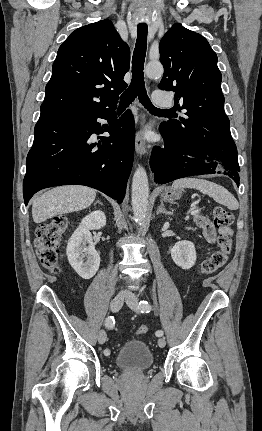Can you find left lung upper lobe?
<instances>
[{
    "label": "left lung upper lobe",
    "mask_w": 262,
    "mask_h": 431,
    "mask_svg": "<svg viewBox=\"0 0 262 431\" xmlns=\"http://www.w3.org/2000/svg\"><path fill=\"white\" fill-rule=\"evenodd\" d=\"M164 75L159 88L175 92V106L185 117L160 126L171 141L220 150L232 139L224 112L217 55L198 33L174 24L159 45Z\"/></svg>",
    "instance_id": "obj_1"
}]
</instances>
